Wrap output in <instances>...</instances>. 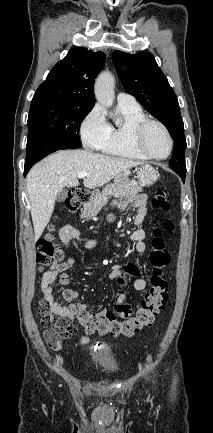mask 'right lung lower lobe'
<instances>
[{
	"label": "right lung lower lobe",
	"instance_id": "98d812e1",
	"mask_svg": "<svg viewBox=\"0 0 213 433\" xmlns=\"http://www.w3.org/2000/svg\"><path fill=\"white\" fill-rule=\"evenodd\" d=\"M77 146L62 139L41 135L28 139L26 146V161L24 166V176L30 168L39 160L47 155L63 149H76Z\"/></svg>",
	"mask_w": 213,
	"mask_h": 433
}]
</instances>
